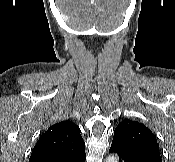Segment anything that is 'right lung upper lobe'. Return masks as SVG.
I'll return each instance as SVG.
<instances>
[{
	"mask_svg": "<svg viewBox=\"0 0 175 162\" xmlns=\"http://www.w3.org/2000/svg\"><path fill=\"white\" fill-rule=\"evenodd\" d=\"M79 127L69 121L50 126L36 143L29 162H44L51 158H76L85 153V142Z\"/></svg>",
	"mask_w": 175,
	"mask_h": 162,
	"instance_id": "cb5924a9",
	"label": "right lung upper lobe"
}]
</instances>
